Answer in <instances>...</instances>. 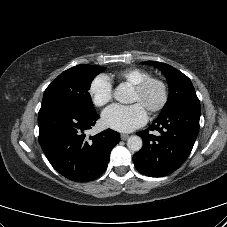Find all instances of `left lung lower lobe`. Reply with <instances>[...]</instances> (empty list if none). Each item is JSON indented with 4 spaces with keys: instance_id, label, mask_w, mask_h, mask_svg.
<instances>
[{
    "instance_id": "0a47b994",
    "label": "left lung lower lobe",
    "mask_w": 227,
    "mask_h": 227,
    "mask_svg": "<svg viewBox=\"0 0 227 227\" xmlns=\"http://www.w3.org/2000/svg\"><path fill=\"white\" fill-rule=\"evenodd\" d=\"M200 104L182 105L158 117L148 129L138 132L142 149L135 153L136 169L150 177H162L177 170L189 156L199 132ZM151 131H158L155 136Z\"/></svg>"
}]
</instances>
